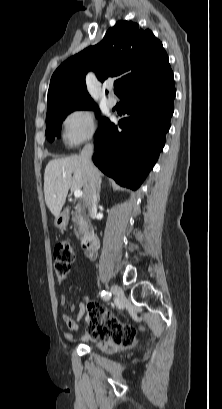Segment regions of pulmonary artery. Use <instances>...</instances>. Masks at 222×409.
I'll list each match as a JSON object with an SVG mask.
<instances>
[{"label":"pulmonary artery","mask_w":222,"mask_h":409,"mask_svg":"<svg viewBox=\"0 0 222 409\" xmlns=\"http://www.w3.org/2000/svg\"><path fill=\"white\" fill-rule=\"evenodd\" d=\"M117 101L113 96H109L107 99V104L109 107H114L116 105Z\"/></svg>","instance_id":"obj_1"}]
</instances>
